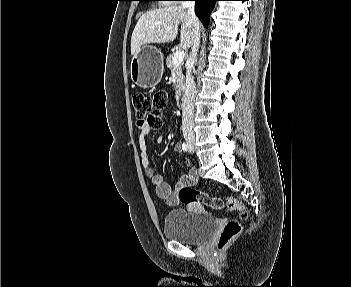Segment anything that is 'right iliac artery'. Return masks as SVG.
Here are the masks:
<instances>
[{"instance_id":"82829eb1","label":"right iliac artery","mask_w":351,"mask_h":287,"mask_svg":"<svg viewBox=\"0 0 351 287\" xmlns=\"http://www.w3.org/2000/svg\"><path fill=\"white\" fill-rule=\"evenodd\" d=\"M182 149H183L184 152H187V151H188V146H187L186 143H183V144H182Z\"/></svg>"}]
</instances>
